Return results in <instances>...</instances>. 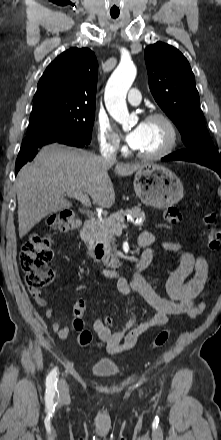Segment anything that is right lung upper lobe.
<instances>
[{
    "label": "right lung upper lobe",
    "instance_id": "obj_1",
    "mask_svg": "<svg viewBox=\"0 0 221 440\" xmlns=\"http://www.w3.org/2000/svg\"><path fill=\"white\" fill-rule=\"evenodd\" d=\"M98 63L88 48H71L46 68L38 82L33 103L60 101L95 104Z\"/></svg>",
    "mask_w": 221,
    "mask_h": 440
}]
</instances>
